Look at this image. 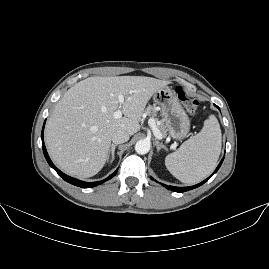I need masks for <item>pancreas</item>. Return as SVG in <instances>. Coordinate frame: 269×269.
<instances>
[{
  "label": "pancreas",
  "instance_id": "pancreas-1",
  "mask_svg": "<svg viewBox=\"0 0 269 269\" xmlns=\"http://www.w3.org/2000/svg\"><path fill=\"white\" fill-rule=\"evenodd\" d=\"M146 112L148 113L149 116H155L156 115V112H155L153 106H149L146 109ZM157 128L159 129L160 133L162 134V137H165L166 136V128H165V126L161 123L159 126H157Z\"/></svg>",
  "mask_w": 269,
  "mask_h": 269
}]
</instances>
